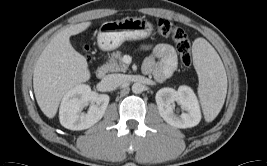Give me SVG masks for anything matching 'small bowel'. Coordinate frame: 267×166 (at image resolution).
Listing matches in <instances>:
<instances>
[{
    "instance_id": "small-bowel-1",
    "label": "small bowel",
    "mask_w": 267,
    "mask_h": 166,
    "mask_svg": "<svg viewBox=\"0 0 267 166\" xmlns=\"http://www.w3.org/2000/svg\"><path fill=\"white\" fill-rule=\"evenodd\" d=\"M142 49L151 52L143 63L144 73L152 74L159 82L165 81L173 74L177 67V54L172 45L164 42L143 45Z\"/></svg>"
}]
</instances>
